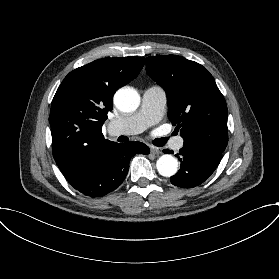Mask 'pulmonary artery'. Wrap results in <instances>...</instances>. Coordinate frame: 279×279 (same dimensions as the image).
<instances>
[{"label":"pulmonary artery","mask_w":279,"mask_h":279,"mask_svg":"<svg viewBox=\"0 0 279 279\" xmlns=\"http://www.w3.org/2000/svg\"><path fill=\"white\" fill-rule=\"evenodd\" d=\"M166 91L163 86L155 84L148 87L143 95L140 110L136 114H119L111 122L113 133L119 137H135L141 131L157 123L165 112ZM182 138H177V147Z\"/></svg>","instance_id":"obj_1"}]
</instances>
